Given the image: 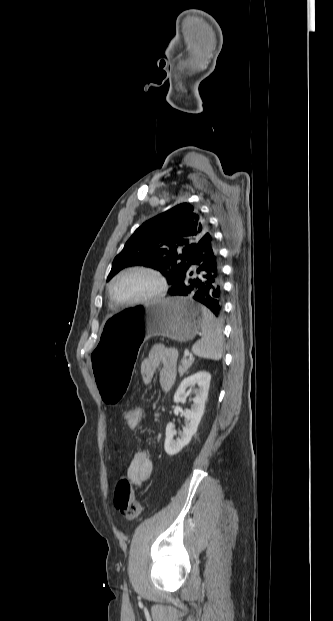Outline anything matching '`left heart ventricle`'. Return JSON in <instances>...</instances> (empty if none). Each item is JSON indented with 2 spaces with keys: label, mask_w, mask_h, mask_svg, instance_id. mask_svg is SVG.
I'll list each match as a JSON object with an SVG mask.
<instances>
[{
  "label": "left heart ventricle",
  "mask_w": 333,
  "mask_h": 621,
  "mask_svg": "<svg viewBox=\"0 0 333 621\" xmlns=\"http://www.w3.org/2000/svg\"><path fill=\"white\" fill-rule=\"evenodd\" d=\"M159 288L157 280L146 273H129L113 285V293L120 301H133L154 294Z\"/></svg>",
  "instance_id": "1"
}]
</instances>
